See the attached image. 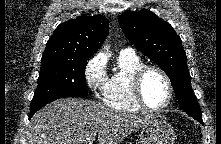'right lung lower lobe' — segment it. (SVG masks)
<instances>
[{
  "label": "right lung lower lobe",
  "mask_w": 221,
  "mask_h": 144,
  "mask_svg": "<svg viewBox=\"0 0 221 144\" xmlns=\"http://www.w3.org/2000/svg\"><path fill=\"white\" fill-rule=\"evenodd\" d=\"M35 112H30L29 113V119L32 117V115L34 114Z\"/></svg>",
  "instance_id": "right-lung-lower-lobe-1"
}]
</instances>
